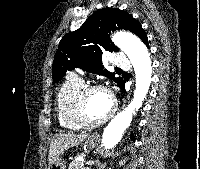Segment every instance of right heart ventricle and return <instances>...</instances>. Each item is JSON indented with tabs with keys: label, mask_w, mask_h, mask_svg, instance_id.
Wrapping results in <instances>:
<instances>
[{
	"label": "right heart ventricle",
	"mask_w": 200,
	"mask_h": 169,
	"mask_svg": "<svg viewBox=\"0 0 200 169\" xmlns=\"http://www.w3.org/2000/svg\"><path fill=\"white\" fill-rule=\"evenodd\" d=\"M82 88L81 81L69 77L57 92V117L60 126L65 130L78 131L82 129L75 115V99Z\"/></svg>",
	"instance_id": "1"
}]
</instances>
